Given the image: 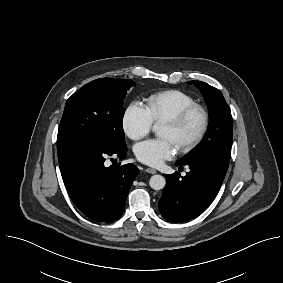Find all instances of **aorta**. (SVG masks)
I'll return each mask as SVG.
<instances>
[{"instance_id":"aorta-1","label":"aorta","mask_w":283,"mask_h":283,"mask_svg":"<svg viewBox=\"0 0 283 283\" xmlns=\"http://www.w3.org/2000/svg\"><path fill=\"white\" fill-rule=\"evenodd\" d=\"M153 131L158 134L159 127L157 125L153 126ZM149 185L154 190H161L166 185V180L161 175H153L149 180Z\"/></svg>"}]
</instances>
